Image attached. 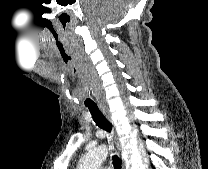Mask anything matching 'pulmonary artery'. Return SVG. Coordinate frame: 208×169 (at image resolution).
Listing matches in <instances>:
<instances>
[{
    "instance_id": "1",
    "label": "pulmonary artery",
    "mask_w": 208,
    "mask_h": 169,
    "mask_svg": "<svg viewBox=\"0 0 208 169\" xmlns=\"http://www.w3.org/2000/svg\"><path fill=\"white\" fill-rule=\"evenodd\" d=\"M100 169H112V168L109 166H102Z\"/></svg>"
}]
</instances>
